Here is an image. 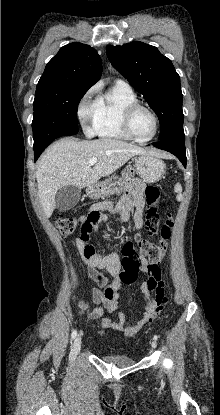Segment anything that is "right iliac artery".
Masks as SVG:
<instances>
[{
	"instance_id": "1",
	"label": "right iliac artery",
	"mask_w": 220,
	"mask_h": 415,
	"mask_svg": "<svg viewBox=\"0 0 220 415\" xmlns=\"http://www.w3.org/2000/svg\"><path fill=\"white\" fill-rule=\"evenodd\" d=\"M77 336V331L73 330L72 334H71V338L74 339Z\"/></svg>"
}]
</instances>
